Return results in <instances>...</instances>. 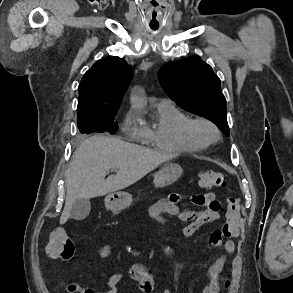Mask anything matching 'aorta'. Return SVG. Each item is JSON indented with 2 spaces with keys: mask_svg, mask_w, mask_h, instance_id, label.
I'll return each mask as SVG.
<instances>
[{
  "mask_svg": "<svg viewBox=\"0 0 293 293\" xmlns=\"http://www.w3.org/2000/svg\"><path fill=\"white\" fill-rule=\"evenodd\" d=\"M132 100H133V104L136 108H138V109L144 108L145 101H144V98L140 92H138V91L135 92Z\"/></svg>",
  "mask_w": 293,
  "mask_h": 293,
  "instance_id": "1",
  "label": "aorta"
}]
</instances>
